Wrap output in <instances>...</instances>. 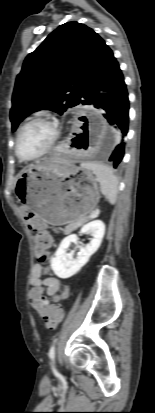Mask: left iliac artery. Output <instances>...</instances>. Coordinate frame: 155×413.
Masks as SVG:
<instances>
[{
	"label": "left iliac artery",
	"mask_w": 155,
	"mask_h": 413,
	"mask_svg": "<svg viewBox=\"0 0 155 413\" xmlns=\"http://www.w3.org/2000/svg\"><path fill=\"white\" fill-rule=\"evenodd\" d=\"M49 358L51 360V364H52V368L53 370H55L54 365H53V361L55 358V345L53 344L49 350Z\"/></svg>",
	"instance_id": "obj_1"
}]
</instances>
